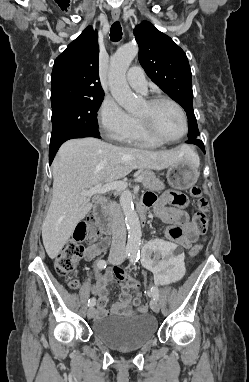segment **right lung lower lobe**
I'll list each match as a JSON object with an SVG mask.
<instances>
[{"mask_svg":"<svg viewBox=\"0 0 249 382\" xmlns=\"http://www.w3.org/2000/svg\"><path fill=\"white\" fill-rule=\"evenodd\" d=\"M83 137H96L101 138L98 131H75L71 133H67L57 139L50 141V149H49V163L54 159L56 152L59 147L67 140L74 138H83Z\"/></svg>","mask_w":249,"mask_h":382,"instance_id":"right-lung-lower-lobe-1","label":"right lung lower lobe"}]
</instances>
